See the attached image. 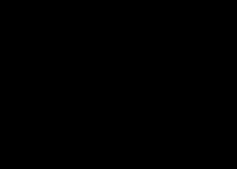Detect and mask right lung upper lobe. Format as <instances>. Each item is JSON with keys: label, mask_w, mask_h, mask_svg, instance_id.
I'll return each mask as SVG.
<instances>
[{"label": "right lung upper lobe", "mask_w": 237, "mask_h": 169, "mask_svg": "<svg viewBox=\"0 0 237 169\" xmlns=\"http://www.w3.org/2000/svg\"><path fill=\"white\" fill-rule=\"evenodd\" d=\"M122 34H79L50 60L44 76V96L50 118L59 126L76 113L94 91L93 76L123 43Z\"/></svg>", "instance_id": "1"}]
</instances>
